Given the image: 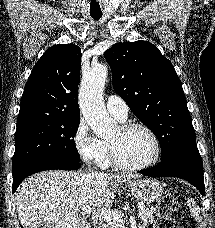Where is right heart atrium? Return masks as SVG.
Segmentation results:
<instances>
[{
	"mask_svg": "<svg viewBox=\"0 0 215 228\" xmlns=\"http://www.w3.org/2000/svg\"><path fill=\"white\" fill-rule=\"evenodd\" d=\"M72 143L78 158L87 164L99 163L103 156L100 140L91 132L87 121L81 116L72 135Z\"/></svg>",
	"mask_w": 215,
	"mask_h": 228,
	"instance_id": "obj_1",
	"label": "right heart atrium"
}]
</instances>
